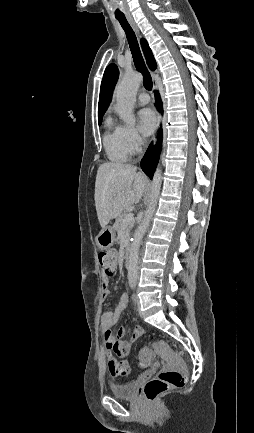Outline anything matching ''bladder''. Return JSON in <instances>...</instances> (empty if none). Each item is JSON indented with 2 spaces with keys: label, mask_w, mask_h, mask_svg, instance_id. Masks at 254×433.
I'll return each instance as SVG.
<instances>
[{
  "label": "bladder",
  "mask_w": 254,
  "mask_h": 433,
  "mask_svg": "<svg viewBox=\"0 0 254 433\" xmlns=\"http://www.w3.org/2000/svg\"><path fill=\"white\" fill-rule=\"evenodd\" d=\"M109 390L117 398L135 399L137 396V381L132 380L125 383L111 384Z\"/></svg>",
  "instance_id": "1"
}]
</instances>
